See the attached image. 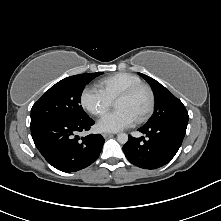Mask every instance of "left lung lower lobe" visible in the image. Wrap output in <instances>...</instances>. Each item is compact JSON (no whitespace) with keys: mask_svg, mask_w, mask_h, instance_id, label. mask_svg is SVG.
Returning <instances> with one entry per match:
<instances>
[{"mask_svg":"<svg viewBox=\"0 0 221 221\" xmlns=\"http://www.w3.org/2000/svg\"><path fill=\"white\" fill-rule=\"evenodd\" d=\"M188 121L173 120L138 129L146 135L134 138L129 135L123 146L126 158L144 169H156L167 164L179 150L186 133Z\"/></svg>","mask_w":221,"mask_h":221,"instance_id":"0a47b994","label":"left lung lower lobe"}]
</instances>
